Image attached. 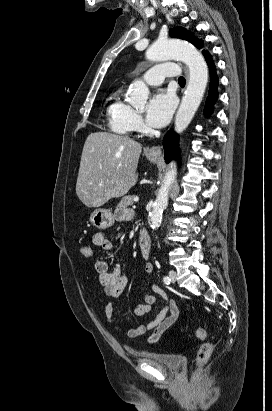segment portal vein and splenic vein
I'll list each match as a JSON object with an SVG mask.
<instances>
[{
  "instance_id": "1",
  "label": "portal vein and splenic vein",
  "mask_w": 272,
  "mask_h": 411,
  "mask_svg": "<svg viewBox=\"0 0 272 411\" xmlns=\"http://www.w3.org/2000/svg\"><path fill=\"white\" fill-rule=\"evenodd\" d=\"M134 201H135V202H138V201H139V198H138L137 196H135V197H134Z\"/></svg>"
}]
</instances>
